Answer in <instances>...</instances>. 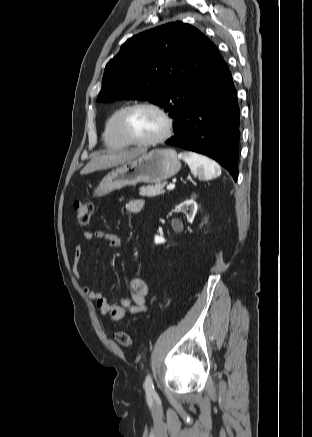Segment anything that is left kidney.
<instances>
[{
  "mask_svg": "<svg viewBox=\"0 0 312 437\" xmlns=\"http://www.w3.org/2000/svg\"><path fill=\"white\" fill-rule=\"evenodd\" d=\"M178 208L181 212L186 214L188 222L192 223L198 209L197 203L194 200V195L190 199L179 204ZM171 225L173 228H178L181 225V222L173 219ZM154 242L155 244H162L165 242V239L162 236L155 235Z\"/></svg>",
  "mask_w": 312,
  "mask_h": 437,
  "instance_id": "1",
  "label": "left kidney"
}]
</instances>
